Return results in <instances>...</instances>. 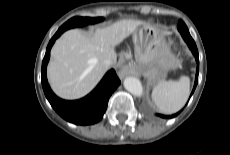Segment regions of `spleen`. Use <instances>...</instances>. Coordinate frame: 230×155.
<instances>
[{
	"instance_id": "spleen-1",
	"label": "spleen",
	"mask_w": 230,
	"mask_h": 155,
	"mask_svg": "<svg viewBox=\"0 0 230 155\" xmlns=\"http://www.w3.org/2000/svg\"><path fill=\"white\" fill-rule=\"evenodd\" d=\"M190 93V79L181 76L178 80H161L153 89L152 98L158 109L165 114L179 111Z\"/></svg>"
}]
</instances>
